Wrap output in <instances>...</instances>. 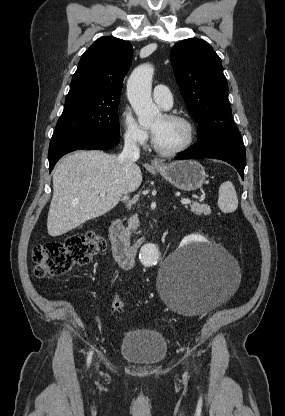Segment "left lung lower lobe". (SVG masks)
<instances>
[{
	"instance_id": "0a47b994",
	"label": "left lung lower lobe",
	"mask_w": 285,
	"mask_h": 416,
	"mask_svg": "<svg viewBox=\"0 0 285 416\" xmlns=\"http://www.w3.org/2000/svg\"><path fill=\"white\" fill-rule=\"evenodd\" d=\"M214 158L228 162L244 178L246 151L238 130H229L207 136L175 159Z\"/></svg>"
}]
</instances>
